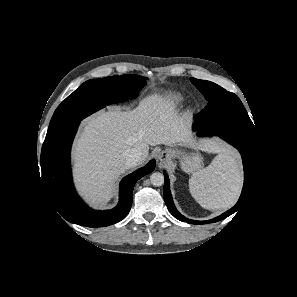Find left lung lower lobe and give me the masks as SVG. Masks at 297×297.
Listing matches in <instances>:
<instances>
[{"label":"left lung lower lobe","instance_id":"1","mask_svg":"<svg viewBox=\"0 0 297 297\" xmlns=\"http://www.w3.org/2000/svg\"><path fill=\"white\" fill-rule=\"evenodd\" d=\"M193 130L198 131L201 136H212L217 135L233 145L235 148L239 150L242 156L243 167H244V185L242 189L241 196L237 202V204L221 214L220 216L207 220V221H195L191 219H187L183 215H181L172 200L170 188H169V179L164 172V200L167 205V208L171 212V214L180 221L187 222L189 224H208L217 222L225 219L231 214L235 213L242 207V205L247 201L254 182V174L257 168V152H258V142L256 140V135L254 133L248 132L241 128L229 126V125H220L213 127H201L197 124H193ZM238 213V212H237Z\"/></svg>","mask_w":297,"mask_h":297}]
</instances>
